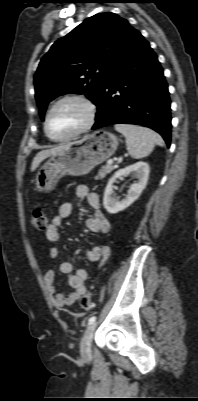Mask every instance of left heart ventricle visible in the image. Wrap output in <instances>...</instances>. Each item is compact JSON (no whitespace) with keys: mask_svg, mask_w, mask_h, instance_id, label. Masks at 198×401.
<instances>
[{"mask_svg":"<svg viewBox=\"0 0 198 401\" xmlns=\"http://www.w3.org/2000/svg\"><path fill=\"white\" fill-rule=\"evenodd\" d=\"M87 110L79 102L59 104L51 113L49 131L53 137H65L79 130L87 120Z\"/></svg>","mask_w":198,"mask_h":401,"instance_id":"1","label":"left heart ventricle"}]
</instances>
